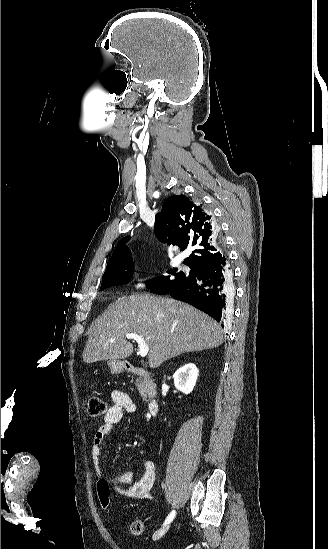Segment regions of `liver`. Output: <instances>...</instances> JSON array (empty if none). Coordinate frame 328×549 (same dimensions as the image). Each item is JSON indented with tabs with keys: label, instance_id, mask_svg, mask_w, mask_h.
Here are the masks:
<instances>
[{
	"label": "liver",
	"instance_id": "liver-1",
	"mask_svg": "<svg viewBox=\"0 0 328 549\" xmlns=\"http://www.w3.org/2000/svg\"><path fill=\"white\" fill-rule=\"evenodd\" d=\"M129 333L146 341L151 369L182 353L214 349L223 343L218 323L192 305L167 297L130 295L119 297L92 323L82 353L84 363L127 359L133 353L126 339Z\"/></svg>",
	"mask_w": 328,
	"mask_h": 549
}]
</instances>
